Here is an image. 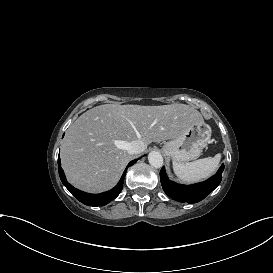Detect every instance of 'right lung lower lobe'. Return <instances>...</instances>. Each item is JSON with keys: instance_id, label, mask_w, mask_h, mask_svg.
Here are the masks:
<instances>
[{"instance_id": "obj_1", "label": "right lung lower lobe", "mask_w": 273, "mask_h": 273, "mask_svg": "<svg viewBox=\"0 0 273 273\" xmlns=\"http://www.w3.org/2000/svg\"><path fill=\"white\" fill-rule=\"evenodd\" d=\"M137 160L131 161L128 166L133 165ZM127 170V169H126ZM126 170L124 171L122 178L120 179L119 183L110 191L101 193V194H88L85 192H82L78 189H75L71 184H69L66 181V177L64 175V171L61 168V162L60 158L58 157V171H59V176L64 184V186L75 196L77 200L82 202L85 205L88 206H103L108 204L110 201L115 199L121 192L123 188V180L126 174Z\"/></svg>"}]
</instances>
